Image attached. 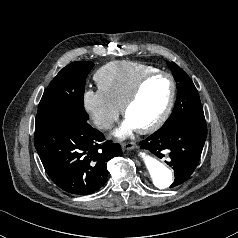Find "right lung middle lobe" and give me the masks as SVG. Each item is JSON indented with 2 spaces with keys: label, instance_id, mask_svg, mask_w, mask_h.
<instances>
[{
  "label": "right lung middle lobe",
  "instance_id": "1",
  "mask_svg": "<svg viewBox=\"0 0 238 238\" xmlns=\"http://www.w3.org/2000/svg\"><path fill=\"white\" fill-rule=\"evenodd\" d=\"M92 62H73L59 71L44 91L38 106L35 128L67 120H88L83 93Z\"/></svg>",
  "mask_w": 238,
  "mask_h": 238
}]
</instances>
